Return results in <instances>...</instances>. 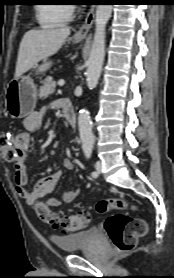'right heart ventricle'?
I'll return each instance as SVG.
<instances>
[{
  "label": "right heart ventricle",
  "instance_id": "obj_1",
  "mask_svg": "<svg viewBox=\"0 0 174 278\" xmlns=\"http://www.w3.org/2000/svg\"><path fill=\"white\" fill-rule=\"evenodd\" d=\"M72 7L67 4L45 3L36 8L38 23L43 28H53L68 23L72 18Z\"/></svg>",
  "mask_w": 174,
  "mask_h": 278
}]
</instances>
